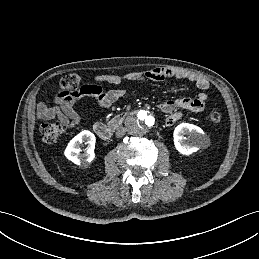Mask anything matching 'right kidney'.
<instances>
[{"label":"right kidney","mask_w":259,"mask_h":259,"mask_svg":"<svg viewBox=\"0 0 259 259\" xmlns=\"http://www.w3.org/2000/svg\"><path fill=\"white\" fill-rule=\"evenodd\" d=\"M95 141V135L88 130H84L68 143L64 155L77 165H87L95 158ZM83 142L87 144V150L81 153L79 145Z\"/></svg>","instance_id":"1"}]
</instances>
